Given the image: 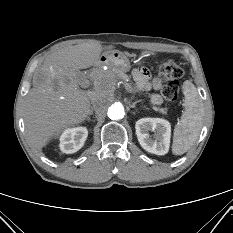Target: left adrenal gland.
<instances>
[{"label":"left adrenal gland","mask_w":233,"mask_h":233,"mask_svg":"<svg viewBox=\"0 0 233 233\" xmlns=\"http://www.w3.org/2000/svg\"><path fill=\"white\" fill-rule=\"evenodd\" d=\"M141 100L133 102V104L129 105L130 108H135L136 104L139 103Z\"/></svg>","instance_id":"a2214340"}]
</instances>
